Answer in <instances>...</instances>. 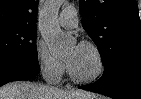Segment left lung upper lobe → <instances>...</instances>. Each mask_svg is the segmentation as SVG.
I'll return each mask as SVG.
<instances>
[{
  "mask_svg": "<svg viewBox=\"0 0 141 99\" xmlns=\"http://www.w3.org/2000/svg\"><path fill=\"white\" fill-rule=\"evenodd\" d=\"M83 27L105 70L124 59H141V23L136 0H80Z\"/></svg>",
  "mask_w": 141,
  "mask_h": 99,
  "instance_id": "5c2ea615",
  "label": "left lung upper lobe"
}]
</instances>
